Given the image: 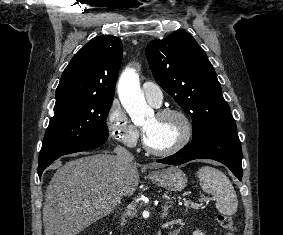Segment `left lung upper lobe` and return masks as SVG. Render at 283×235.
<instances>
[{
  "instance_id": "obj_1",
  "label": "left lung upper lobe",
  "mask_w": 283,
  "mask_h": 235,
  "mask_svg": "<svg viewBox=\"0 0 283 235\" xmlns=\"http://www.w3.org/2000/svg\"><path fill=\"white\" fill-rule=\"evenodd\" d=\"M146 56L156 82L191 115L193 139L237 130L216 72L189 33L151 41Z\"/></svg>"
}]
</instances>
